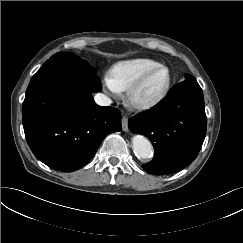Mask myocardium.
<instances>
[{
    "label": "myocardium",
    "mask_w": 243,
    "mask_h": 243,
    "mask_svg": "<svg viewBox=\"0 0 243 243\" xmlns=\"http://www.w3.org/2000/svg\"><path fill=\"white\" fill-rule=\"evenodd\" d=\"M158 71H165L166 79L161 88L153 95L141 98L139 92L147 80ZM171 73L165 66H156L142 74L126 91V101L128 105L136 110H148L160 103L167 95L171 86Z\"/></svg>",
    "instance_id": "obj_1"
}]
</instances>
